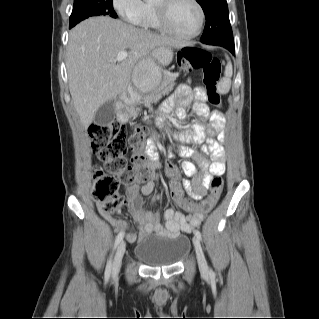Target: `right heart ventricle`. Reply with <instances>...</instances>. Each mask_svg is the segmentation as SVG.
Here are the masks:
<instances>
[{"mask_svg": "<svg viewBox=\"0 0 319 319\" xmlns=\"http://www.w3.org/2000/svg\"><path fill=\"white\" fill-rule=\"evenodd\" d=\"M154 4L155 3L149 1L145 3L144 13L140 20V26L157 30L160 29V24L156 15Z\"/></svg>", "mask_w": 319, "mask_h": 319, "instance_id": "e07e8e85", "label": "right heart ventricle"}]
</instances>
